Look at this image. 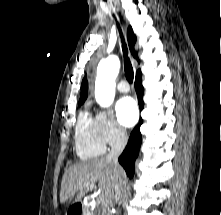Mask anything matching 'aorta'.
Instances as JSON below:
<instances>
[{
	"label": "aorta",
	"mask_w": 221,
	"mask_h": 215,
	"mask_svg": "<svg viewBox=\"0 0 221 215\" xmlns=\"http://www.w3.org/2000/svg\"><path fill=\"white\" fill-rule=\"evenodd\" d=\"M120 60L116 55L102 59L97 67L95 99L102 107L112 104L115 97V79L119 73Z\"/></svg>",
	"instance_id": "aorta-1"
}]
</instances>
